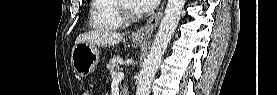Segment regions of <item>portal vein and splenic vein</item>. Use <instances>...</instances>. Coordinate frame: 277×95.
I'll list each match as a JSON object with an SVG mask.
<instances>
[{"label":"portal vein and splenic vein","instance_id":"obj_1","mask_svg":"<svg viewBox=\"0 0 277 95\" xmlns=\"http://www.w3.org/2000/svg\"><path fill=\"white\" fill-rule=\"evenodd\" d=\"M124 78L123 72H115L112 74V79L116 81H121Z\"/></svg>","mask_w":277,"mask_h":95}]
</instances>
